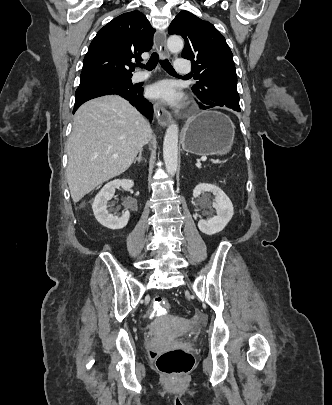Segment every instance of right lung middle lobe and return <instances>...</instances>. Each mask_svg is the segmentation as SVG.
<instances>
[{"label": "right lung middle lobe", "mask_w": 332, "mask_h": 405, "mask_svg": "<svg viewBox=\"0 0 332 405\" xmlns=\"http://www.w3.org/2000/svg\"><path fill=\"white\" fill-rule=\"evenodd\" d=\"M95 83H112L127 87L134 86L131 81V76H123L116 74H98L91 76H81L79 87Z\"/></svg>", "instance_id": "right-lung-middle-lobe-1"}]
</instances>
